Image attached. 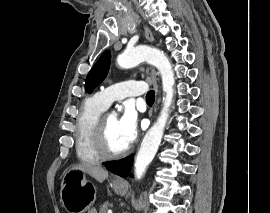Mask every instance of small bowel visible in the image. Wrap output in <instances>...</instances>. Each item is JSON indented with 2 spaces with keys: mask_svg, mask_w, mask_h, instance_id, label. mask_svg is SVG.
<instances>
[{
  "mask_svg": "<svg viewBox=\"0 0 270 213\" xmlns=\"http://www.w3.org/2000/svg\"><path fill=\"white\" fill-rule=\"evenodd\" d=\"M88 213H97L94 208H92Z\"/></svg>",
  "mask_w": 270,
  "mask_h": 213,
  "instance_id": "1",
  "label": "small bowel"
}]
</instances>
